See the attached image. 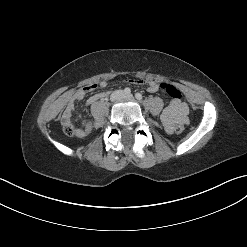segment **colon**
I'll return each mask as SVG.
<instances>
[{
  "label": "colon",
  "mask_w": 247,
  "mask_h": 247,
  "mask_svg": "<svg viewBox=\"0 0 247 247\" xmlns=\"http://www.w3.org/2000/svg\"><path fill=\"white\" fill-rule=\"evenodd\" d=\"M159 87L161 90L165 91L167 93V95L169 97H171L173 100H181V92L178 88H176L173 85L170 84H166V83H160ZM84 127L89 128L90 127V123L86 122L84 123ZM64 132L67 135H76V132L78 131V129L75 127V125L71 122L67 123L64 125ZM175 133L177 134H181L184 131V126L183 125H176L174 128Z\"/></svg>",
  "instance_id": "1"
}]
</instances>
